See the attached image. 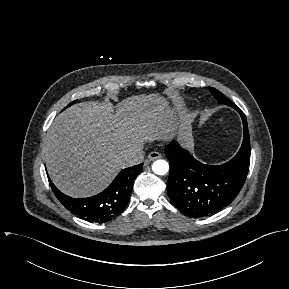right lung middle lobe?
I'll return each mask as SVG.
<instances>
[{
  "mask_svg": "<svg viewBox=\"0 0 289 289\" xmlns=\"http://www.w3.org/2000/svg\"><path fill=\"white\" fill-rule=\"evenodd\" d=\"M73 103H75V101H73L72 103H70L68 106L72 105ZM68 106H67V107H68Z\"/></svg>",
  "mask_w": 289,
  "mask_h": 289,
  "instance_id": "right-lung-middle-lobe-1",
  "label": "right lung middle lobe"
}]
</instances>
